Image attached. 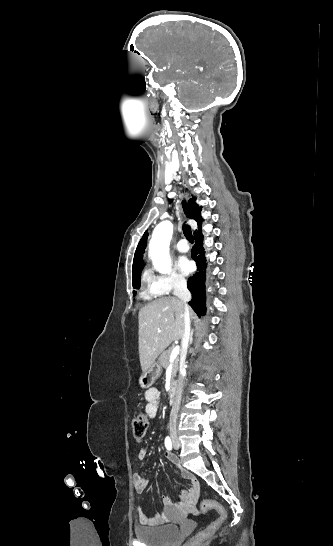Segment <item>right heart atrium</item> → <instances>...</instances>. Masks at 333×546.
Returning a JSON list of instances; mask_svg holds the SVG:
<instances>
[{"label": "right heart atrium", "mask_w": 333, "mask_h": 546, "mask_svg": "<svg viewBox=\"0 0 333 546\" xmlns=\"http://www.w3.org/2000/svg\"><path fill=\"white\" fill-rule=\"evenodd\" d=\"M186 280L176 271L164 275H154L151 280V288L155 295L164 296L183 290Z\"/></svg>", "instance_id": "obj_1"}]
</instances>
